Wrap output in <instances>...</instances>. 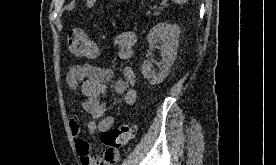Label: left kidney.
<instances>
[{
    "label": "left kidney",
    "mask_w": 276,
    "mask_h": 165,
    "mask_svg": "<svg viewBox=\"0 0 276 165\" xmlns=\"http://www.w3.org/2000/svg\"><path fill=\"white\" fill-rule=\"evenodd\" d=\"M180 27L168 23H158L147 35L149 49L152 51L155 45L161 43L162 64L159 71L153 69L151 60H146L142 64L141 72L144 78L148 79L149 83L156 85L161 83L169 74L170 68L176 59L177 49L179 44Z\"/></svg>",
    "instance_id": "left-kidney-1"
}]
</instances>
